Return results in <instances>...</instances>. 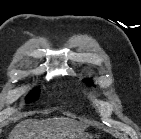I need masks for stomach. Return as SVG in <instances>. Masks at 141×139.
I'll return each mask as SVG.
<instances>
[{"mask_svg":"<svg viewBox=\"0 0 141 139\" xmlns=\"http://www.w3.org/2000/svg\"><path fill=\"white\" fill-rule=\"evenodd\" d=\"M79 139H90V137L87 135H82Z\"/></svg>","mask_w":141,"mask_h":139,"instance_id":"obj_1","label":"stomach"}]
</instances>
